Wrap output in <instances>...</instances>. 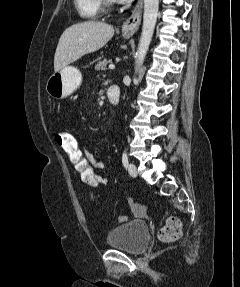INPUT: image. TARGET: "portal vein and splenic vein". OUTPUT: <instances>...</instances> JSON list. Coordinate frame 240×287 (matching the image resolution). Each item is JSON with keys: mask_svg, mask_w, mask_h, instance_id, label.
Masks as SVG:
<instances>
[{"mask_svg": "<svg viewBox=\"0 0 240 287\" xmlns=\"http://www.w3.org/2000/svg\"><path fill=\"white\" fill-rule=\"evenodd\" d=\"M109 69H115V65L110 64V65H109Z\"/></svg>", "mask_w": 240, "mask_h": 287, "instance_id": "portal-vein-and-splenic-vein-1", "label": "portal vein and splenic vein"}]
</instances>
